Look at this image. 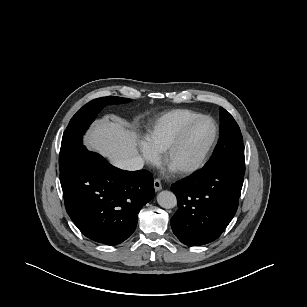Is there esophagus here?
I'll list each match as a JSON object with an SVG mask.
<instances>
[{
  "instance_id": "obj_1",
  "label": "esophagus",
  "mask_w": 307,
  "mask_h": 307,
  "mask_svg": "<svg viewBox=\"0 0 307 307\" xmlns=\"http://www.w3.org/2000/svg\"><path fill=\"white\" fill-rule=\"evenodd\" d=\"M154 189L156 192L162 189V185L159 179L154 180Z\"/></svg>"
}]
</instances>
